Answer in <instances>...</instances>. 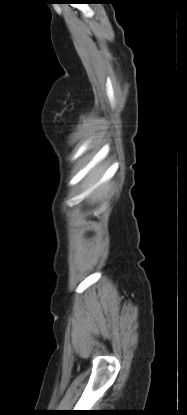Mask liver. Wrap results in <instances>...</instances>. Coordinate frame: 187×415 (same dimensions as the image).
Segmentation results:
<instances>
[{
    "label": "liver",
    "instance_id": "obj_1",
    "mask_svg": "<svg viewBox=\"0 0 187 415\" xmlns=\"http://www.w3.org/2000/svg\"><path fill=\"white\" fill-rule=\"evenodd\" d=\"M103 173H104V170L101 167L94 168L88 177V187H93L99 181ZM104 191H105L104 185L97 187L96 190L91 193L90 199L93 202H95L96 200L101 198Z\"/></svg>",
    "mask_w": 187,
    "mask_h": 415
}]
</instances>
